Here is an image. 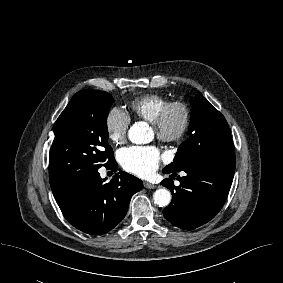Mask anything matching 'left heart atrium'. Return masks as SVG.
<instances>
[{
  "label": "left heart atrium",
  "instance_id": "obj_1",
  "mask_svg": "<svg viewBox=\"0 0 283 283\" xmlns=\"http://www.w3.org/2000/svg\"><path fill=\"white\" fill-rule=\"evenodd\" d=\"M162 154L156 146H130L119 152L123 169L139 177L150 176L159 166Z\"/></svg>",
  "mask_w": 283,
  "mask_h": 283
}]
</instances>
